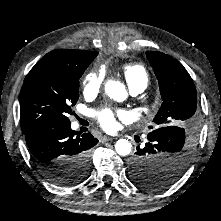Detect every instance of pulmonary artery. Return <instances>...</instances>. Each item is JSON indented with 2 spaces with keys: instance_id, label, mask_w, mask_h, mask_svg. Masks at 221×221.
Segmentation results:
<instances>
[{
  "instance_id": "e3ab8cb5",
  "label": "pulmonary artery",
  "mask_w": 221,
  "mask_h": 221,
  "mask_svg": "<svg viewBox=\"0 0 221 221\" xmlns=\"http://www.w3.org/2000/svg\"><path fill=\"white\" fill-rule=\"evenodd\" d=\"M142 91V89H131V93L132 94H138L139 92H141ZM77 126V124L76 123H74V127H76Z\"/></svg>"
}]
</instances>
